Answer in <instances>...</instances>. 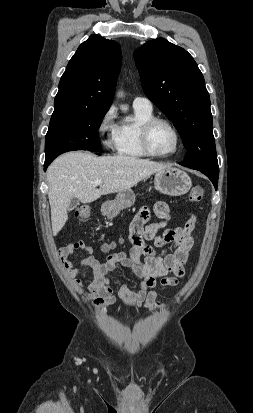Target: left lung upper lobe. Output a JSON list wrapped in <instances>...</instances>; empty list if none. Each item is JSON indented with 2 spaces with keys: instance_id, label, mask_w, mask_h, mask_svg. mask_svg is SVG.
<instances>
[{
  "instance_id": "5c2ea615",
  "label": "left lung upper lobe",
  "mask_w": 253,
  "mask_h": 413,
  "mask_svg": "<svg viewBox=\"0 0 253 413\" xmlns=\"http://www.w3.org/2000/svg\"><path fill=\"white\" fill-rule=\"evenodd\" d=\"M134 58L144 93L181 135L187 149L181 165L219 172L210 97L193 57L166 39L157 38L135 50Z\"/></svg>"
}]
</instances>
